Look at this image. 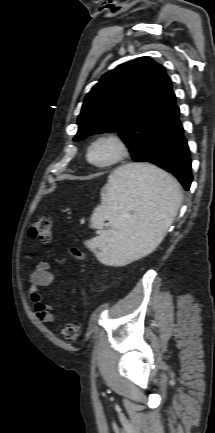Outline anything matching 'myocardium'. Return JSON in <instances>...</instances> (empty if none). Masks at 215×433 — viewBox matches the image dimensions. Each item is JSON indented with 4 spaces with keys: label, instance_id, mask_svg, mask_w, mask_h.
<instances>
[{
    "label": "myocardium",
    "instance_id": "1",
    "mask_svg": "<svg viewBox=\"0 0 215 433\" xmlns=\"http://www.w3.org/2000/svg\"><path fill=\"white\" fill-rule=\"evenodd\" d=\"M102 142L112 143L116 149L115 154L110 160L106 162H95L91 159L92 150L94 149V147H96ZM128 154L129 148L124 138L117 133L109 132L101 134L91 141V143L87 147L86 160L90 165L96 168L106 169L120 164L122 161H124Z\"/></svg>",
    "mask_w": 215,
    "mask_h": 433
}]
</instances>
